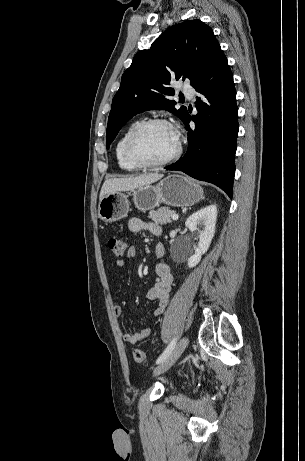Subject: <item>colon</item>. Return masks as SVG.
Masks as SVG:
<instances>
[{
  "mask_svg": "<svg viewBox=\"0 0 305 461\" xmlns=\"http://www.w3.org/2000/svg\"><path fill=\"white\" fill-rule=\"evenodd\" d=\"M107 245L116 256H122L127 249V241L123 237L111 236L107 240ZM133 359L139 364L147 362L146 354L140 349H135L133 351Z\"/></svg>",
  "mask_w": 305,
  "mask_h": 461,
  "instance_id": "1",
  "label": "colon"
}]
</instances>
